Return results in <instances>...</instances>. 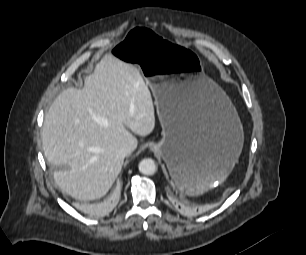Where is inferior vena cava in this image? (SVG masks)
Segmentation results:
<instances>
[{
  "mask_svg": "<svg viewBox=\"0 0 306 255\" xmlns=\"http://www.w3.org/2000/svg\"><path fill=\"white\" fill-rule=\"evenodd\" d=\"M135 150V147L130 145V144H124L122 145L118 152L122 157H127L129 156L133 151Z\"/></svg>",
  "mask_w": 306,
  "mask_h": 255,
  "instance_id": "inferior-vena-cava-1",
  "label": "inferior vena cava"
}]
</instances>
